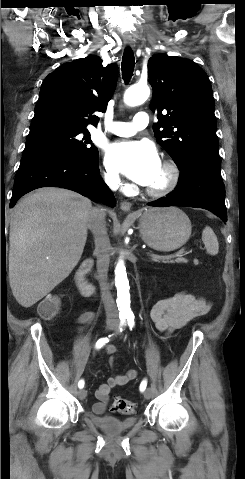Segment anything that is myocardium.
I'll return each mask as SVG.
<instances>
[{
    "mask_svg": "<svg viewBox=\"0 0 245 479\" xmlns=\"http://www.w3.org/2000/svg\"><path fill=\"white\" fill-rule=\"evenodd\" d=\"M161 167L166 173L164 182L157 187H148L146 193L151 197H163L171 193L178 185L180 172L177 165L169 160L162 163Z\"/></svg>",
    "mask_w": 245,
    "mask_h": 479,
    "instance_id": "1",
    "label": "myocardium"
}]
</instances>
